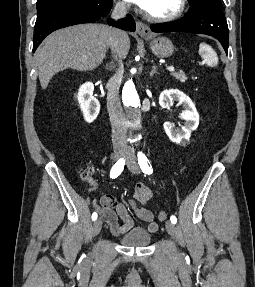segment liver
<instances>
[{
	"label": "liver",
	"mask_w": 255,
	"mask_h": 287,
	"mask_svg": "<svg viewBox=\"0 0 255 287\" xmlns=\"http://www.w3.org/2000/svg\"><path fill=\"white\" fill-rule=\"evenodd\" d=\"M110 42L111 28L103 24H79L50 34L35 54L43 90L55 74L66 68L95 70L104 60ZM117 42L124 60L130 50L129 36L123 32Z\"/></svg>",
	"instance_id": "obj_1"
}]
</instances>
